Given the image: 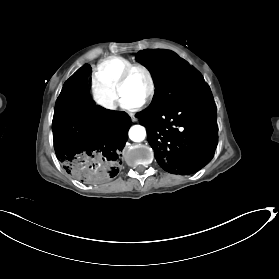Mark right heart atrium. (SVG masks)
<instances>
[{
	"label": "right heart atrium",
	"instance_id": "d8ad5b80",
	"mask_svg": "<svg viewBox=\"0 0 279 279\" xmlns=\"http://www.w3.org/2000/svg\"><path fill=\"white\" fill-rule=\"evenodd\" d=\"M92 96L97 107L105 114H113L119 105L118 95L101 84H93Z\"/></svg>",
	"mask_w": 279,
	"mask_h": 279
}]
</instances>
